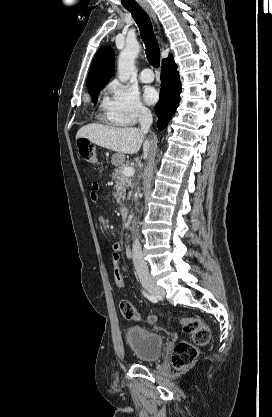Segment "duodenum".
Masks as SVG:
<instances>
[{
	"label": "duodenum",
	"instance_id": "1",
	"mask_svg": "<svg viewBox=\"0 0 272 417\" xmlns=\"http://www.w3.org/2000/svg\"><path fill=\"white\" fill-rule=\"evenodd\" d=\"M120 212H121V215L124 217V218H127L128 217V207L126 206V205H122L121 206V208H120Z\"/></svg>",
	"mask_w": 272,
	"mask_h": 417
}]
</instances>
